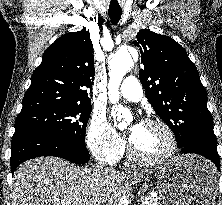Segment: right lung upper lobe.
<instances>
[{
    "instance_id": "cb5924a9",
    "label": "right lung upper lobe",
    "mask_w": 222,
    "mask_h": 205,
    "mask_svg": "<svg viewBox=\"0 0 222 205\" xmlns=\"http://www.w3.org/2000/svg\"><path fill=\"white\" fill-rule=\"evenodd\" d=\"M94 76L90 33L83 29L64 34L44 52L24 95L21 112L49 105H90L88 92Z\"/></svg>"
}]
</instances>
